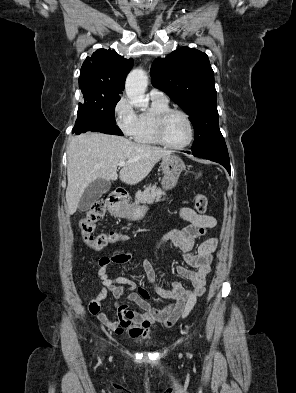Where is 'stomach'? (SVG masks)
<instances>
[{
  "label": "stomach",
  "instance_id": "0dacf381",
  "mask_svg": "<svg viewBox=\"0 0 296 393\" xmlns=\"http://www.w3.org/2000/svg\"><path fill=\"white\" fill-rule=\"evenodd\" d=\"M161 167L164 174L161 185L163 189L170 190L176 186L180 174L185 169V164L178 156L168 155L162 158ZM147 211L148 207L145 205L121 204L116 214L121 218L140 220Z\"/></svg>",
  "mask_w": 296,
  "mask_h": 393
}]
</instances>
